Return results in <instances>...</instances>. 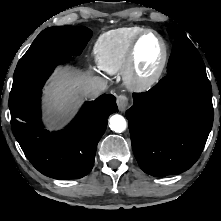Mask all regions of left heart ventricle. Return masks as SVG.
<instances>
[{"mask_svg": "<svg viewBox=\"0 0 221 221\" xmlns=\"http://www.w3.org/2000/svg\"><path fill=\"white\" fill-rule=\"evenodd\" d=\"M162 57V45L157 36L146 35L137 50V72L141 77H148L158 67Z\"/></svg>", "mask_w": 221, "mask_h": 221, "instance_id": "left-heart-ventricle-1", "label": "left heart ventricle"}]
</instances>
